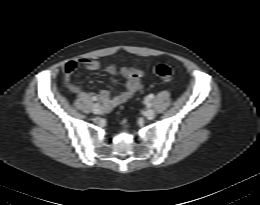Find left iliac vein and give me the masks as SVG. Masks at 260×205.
Here are the masks:
<instances>
[{
  "label": "left iliac vein",
  "instance_id": "4c4485c4",
  "mask_svg": "<svg viewBox=\"0 0 260 205\" xmlns=\"http://www.w3.org/2000/svg\"><path fill=\"white\" fill-rule=\"evenodd\" d=\"M144 116L146 119L148 120H152L154 117H155V111L153 109H147L145 112H144Z\"/></svg>",
  "mask_w": 260,
  "mask_h": 205
}]
</instances>
